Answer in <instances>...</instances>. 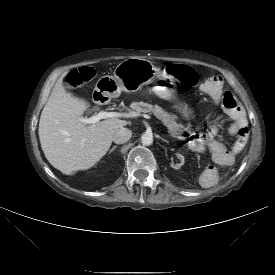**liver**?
Instances as JSON below:
<instances>
[{
  "mask_svg": "<svg viewBox=\"0 0 275 275\" xmlns=\"http://www.w3.org/2000/svg\"><path fill=\"white\" fill-rule=\"evenodd\" d=\"M55 83L39 121L41 148L49 163L63 174L93 167L109 150L114 133L128 122L108 118L85 125L82 115L90 104L67 92L63 78Z\"/></svg>",
  "mask_w": 275,
  "mask_h": 275,
  "instance_id": "1",
  "label": "liver"
}]
</instances>
